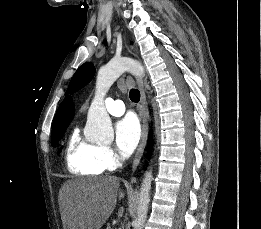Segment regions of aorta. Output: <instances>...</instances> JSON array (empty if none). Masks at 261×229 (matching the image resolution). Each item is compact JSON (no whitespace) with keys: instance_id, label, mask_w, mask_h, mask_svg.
<instances>
[{"instance_id":"obj_1","label":"aorta","mask_w":261,"mask_h":229,"mask_svg":"<svg viewBox=\"0 0 261 229\" xmlns=\"http://www.w3.org/2000/svg\"><path fill=\"white\" fill-rule=\"evenodd\" d=\"M125 70L142 76L144 74V66L138 60H131L128 56H120V58H111L105 66H101L98 70L96 80L95 96L90 104L87 115L86 129L87 135L94 141H103L105 137H113V129L111 119L104 104V96L108 92L111 84L123 74ZM152 167L145 173L141 183L139 199L137 203V215L133 221L134 229H143L149 209L150 193L152 185Z\"/></svg>"}]
</instances>
